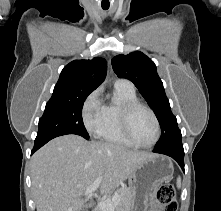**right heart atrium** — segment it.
I'll use <instances>...</instances> for the list:
<instances>
[{"label":"right heart atrium","instance_id":"1","mask_svg":"<svg viewBox=\"0 0 221 211\" xmlns=\"http://www.w3.org/2000/svg\"><path fill=\"white\" fill-rule=\"evenodd\" d=\"M81 117L86 130L97 134L104 121V105L99 89L92 91L84 100L81 108Z\"/></svg>","mask_w":221,"mask_h":211}]
</instances>
